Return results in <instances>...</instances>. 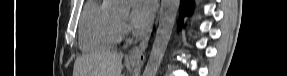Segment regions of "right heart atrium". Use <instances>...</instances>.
<instances>
[{
    "label": "right heart atrium",
    "mask_w": 287,
    "mask_h": 76,
    "mask_svg": "<svg viewBox=\"0 0 287 76\" xmlns=\"http://www.w3.org/2000/svg\"><path fill=\"white\" fill-rule=\"evenodd\" d=\"M120 30H121V34H125L127 32L128 26L126 25V23L120 24Z\"/></svg>",
    "instance_id": "1"
}]
</instances>
